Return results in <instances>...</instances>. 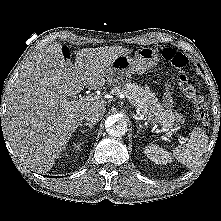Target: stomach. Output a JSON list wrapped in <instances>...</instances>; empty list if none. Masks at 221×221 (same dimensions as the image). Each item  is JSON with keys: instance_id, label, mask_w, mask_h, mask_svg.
I'll return each instance as SVG.
<instances>
[{"instance_id": "stomach-1", "label": "stomach", "mask_w": 221, "mask_h": 221, "mask_svg": "<svg viewBox=\"0 0 221 221\" xmlns=\"http://www.w3.org/2000/svg\"><path fill=\"white\" fill-rule=\"evenodd\" d=\"M158 62V51L151 47L138 49L133 57L127 54L120 55L106 72L107 81L112 85H122L128 82L134 73L143 74Z\"/></svg>"}]
</instances>
